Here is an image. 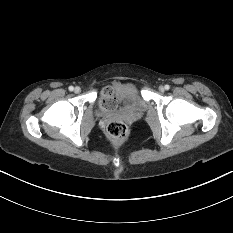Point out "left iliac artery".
Wrapping results in <instances>:
<instances>
[{
	"instance_id": "obj_1",
	"label": "left iliac artery",
	"mask_w": 233,
	"mask_h": 233,
	"mask_svg": "<svg viewBox=\"0 0 233 233\" xmlns=\"http://www.w3.org/2000/svg\"><path fill=\"white\" fill-rule=\"evenodd\" d=\"M166 90H169L170 89V86L169 85H165L164 87Z\"/></svg>"
}]
</instances>
